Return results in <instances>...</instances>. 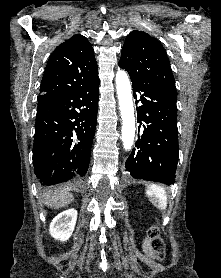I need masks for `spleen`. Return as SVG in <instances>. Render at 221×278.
I'll return each instance as SVG.
<instances>
[{
    "mask_svg": "<svg viewBox=\"0 0 221 278\" xmlns=\"http://www.w3.org/2000/svg\"><path fill=\"white\" fill-rule=\"evenodd\" d=\"M146 194L151 203L160 210H165L167 207V195L165 189L156 184H150L146 188Z\"/></svg>",
    "mask_w": 221,
    "mask_h": 278,
    "instance_id": "3e777b00",
    "label": "spleen"
}]
</instances>
